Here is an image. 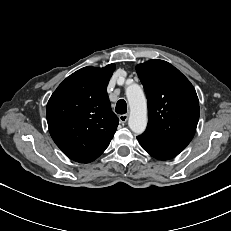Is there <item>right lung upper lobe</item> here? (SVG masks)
Returning a JSON list of instances; mask_svg holds the SVG:
<instances>
[{
  "label": "right lung upper lobe",
  "mask_w": 231,
  "mask_h": 231,
  "mask_svg": "<svg viewBox=\"0 0 231 231\" xmlns=\"http://www.w3.org/2000/svg\"><path fill=\"white\" fill-rule=\"evenodd\" d=\"M114 64L84 67L67 77L47 105L49 132L70 159L89 163L108 147L119 124L111 109L107 84Z\"/></svg>",
  "instance_id": "obj_1"
}]
</instances>
